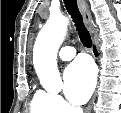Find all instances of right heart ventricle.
<instances>
[{"mask_svg":"<svg viewBox=\"0 0 121 113\" xmlns=\"http://www.w3.org/2000/svg\"><path fill=\"white\" fill-rule=\"evenodd\" d=\"M28 110L29 113H54L52 95L42 89L36 90L30 97Z\"/></svg>","mask_w":121,"mask_h":113,"instance_id":"e07e8e85","label":"right heart ventricle"}]
</instances>
